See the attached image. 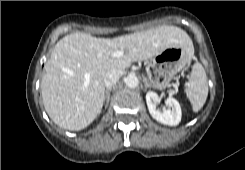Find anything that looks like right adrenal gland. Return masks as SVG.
Wrapping results in <instances>:
<instances>
[{"label":"right adrenal gland","instance_id":"right-adrenal-gland-1","mask_svg":"<svg viewBox=\"0 0 245 170\" xmlns=\"http://www.w3.org/2000/svg\"><path fill=\"white\" fill-rule=\"evenodd\" d=\"M111 90H112V87L106 89V93H105V99H106V105H105V107L106 108L108 107V104H109Z\"/></svg>","mask_w":245,"mask_h":170}]
</instances>
